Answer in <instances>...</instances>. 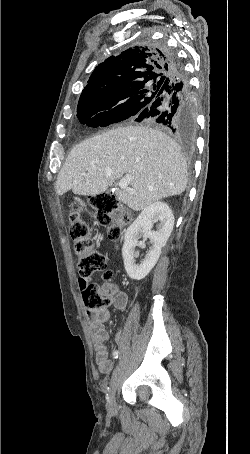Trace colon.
Here are the masks:
<instances>
[{"mask_svg": "<svg viewBox=\"0 0 250 454\" xmlns=\"http://www.w3.org/2000/svg\"><path fill=\"white\" fill-rule=\"evenodd\" d=\"M91 206L96 211L99 224L109 226L108 234L112 239L119 238L121 225L127 222L125 216L117 215V200L108 193L93 195L89 199ZM82 209L73 205L69 209L70 236L74 242L77 268L82 277H89L95 272H103L105 280L112 278V272L108 269V258L97 249L96 243L87 224L81 219ZM83 297L89 310H104L112 303L108 294L100 293L98 286L87 284Z\"/></svg>", "mask_w": 250, "mask_h": 454, "instance_id": "obj_1", "label": "colon"}]
</instances>
